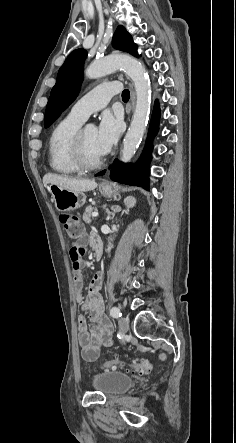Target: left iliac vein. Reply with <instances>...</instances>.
<instances>
[{
	"label": "left iliac vein",
	"mask_w": 236,
	"mask_h": 443,
	"mask_svg": "<svg viewBox=\"0 0 236 443\" xmlns=\"http://www.w3.org/2000/svg\"><path fill=\"white\" fill-rule=\"evenodd\" d=\"M119 327L123 333H126L129 329V322L125 317L119 318Z\"/></svg>",
	"instance_id": "left-iliac-vein-1"
}]
</instances>
